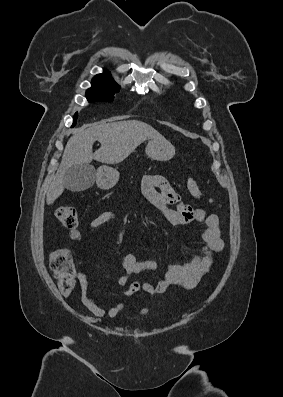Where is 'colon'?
Here are the masks:
<instances>
[{
	"mask_svg": "<svg viewBox=\"0 0 283 397\" xmlns=\"http://www.w3.org/2000/svg\"><path fill=\"white\" fill-rule=\"evenodd\" d=\"M187 189L193 197L197 199L204 198L198 183L191 176L187 179ZM210 201L212 200L210 199ZM55 216L65 227L73 228L78 223L77 210L69 205L58 207L55 211ZM49 265L57 279L60 292L64 296L69 295L76 286L75 266L71 250L68 248L51 250L49 253Z\"/></svg>",
	"mask_w": 283,
	"mask_h": 397,
	"instance_id": "5ec220e1",
	"label": "colon"
}]
</instances>
